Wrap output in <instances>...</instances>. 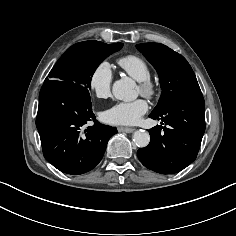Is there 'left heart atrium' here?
<instances>
[{"label": "left heart atrium", "mask_w": 236, "mask_h": 236, "mask_svg": "<svg viewBox=\"0 0 236 236\" xmlns=\"http://www.w3.org/2000/svg\"><path fill=\"white\" fill-rule=\"evenodd\" d=\"M147 111L148 104L143 98L133 101H119L103 113V119L114 125H134Z\"/></svg>", "instance_id": "left-heart-atrium-1"}]
</instances>
